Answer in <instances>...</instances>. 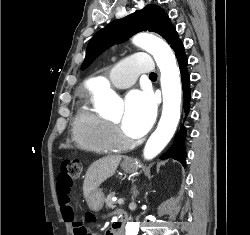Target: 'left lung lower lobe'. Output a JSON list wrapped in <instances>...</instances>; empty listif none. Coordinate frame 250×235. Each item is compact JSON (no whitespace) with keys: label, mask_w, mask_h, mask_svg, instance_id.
Wrapping results in <instances>:
<instances>
[{"label":"left lung lower lobe","mask_w":250,"mask_h":235,"mask_svg":"<svg viewBox=\"0 0 250 235\" xmlns=\"http://www.w3.org/2000/svg\"><path fill=\"white\" fill-rule=\"evenodd\" d=\"M170 45L175 52L180 67L182 87L184 93V110L185 113L187 114L189 112V101H190V89H189L190 77L187 71V57L184 51V46L180 41L178 35L174 37ZM185 135L186 131L184 129V126H182L180 131L177 133L175 137V141L172 147L161 158L162 159L173 158L180 161L185 166V157H186L185 145H184Z\"/></svg>","instance_id":"left-lung-lower-lobe-1"}]
</instances>
